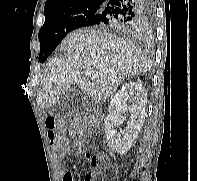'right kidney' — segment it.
I'll list each match as a JSON object with an SVG mask.
<instances>
[{
    "instance_id": "ca27d5eb",
    "label": "right kidney",
    "mask_w": 197,
    "mask_h": 181,
    "mask_svg": "<svg viewBox=\"0 0 197 181\" xmlns=\"http://www.w3.org/2000/svg\"><path fill=\"white\" fill-rule=\"evenodd\" d=\"M146 104L147 90L140 81L124 84L112 98L105 120V132L109 147L116 153L126 154L137 138L144 123ZM125 111H129L131 116L126 128L118 133L117 127L122 123V113Z\"/></svg>"
}]
</instances>
